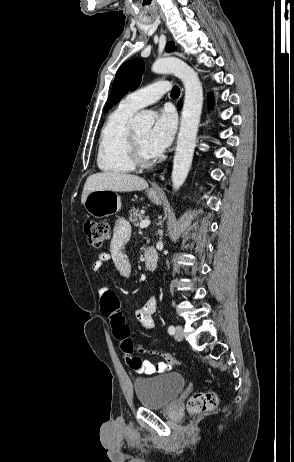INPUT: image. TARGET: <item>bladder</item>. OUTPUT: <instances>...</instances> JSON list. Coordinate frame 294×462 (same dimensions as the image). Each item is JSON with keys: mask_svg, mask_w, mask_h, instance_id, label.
Instances as JSON below:
<instances>
[{"mask_svg": "<svg viewBox=\"0 0 294 462\" xmlns=\"http://www.w3.org/2000/svg\"><path fill=\"white\" fill-rule=\"evenodd\" d=\"M186 387V379L175 372H164L134 381V390L141 406L164 408L172 404Z\"/></svg>", "mask_w": 294, "mask_h": 462, "instance_id": "31cf9c89", "label": "bladder"}]
</instances>
